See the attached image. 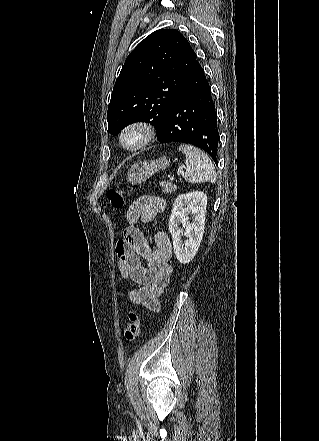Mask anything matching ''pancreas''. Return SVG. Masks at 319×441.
<instances>
[{
  "label": "pancreas",
  "instance_id": "pancreas-1",
  "mask_svg": "<svg viewBox=\"0 0 319 441\" xmlns=\"http://www.w3.org/2000/svg\"><path fill=\"white\" fill-rule=\"evenodd\" d=\"M160 186L165 193H172L177 190V186L170 182H161Z\"/></svg>",
  "mask_w": 319,
  "mask_h": 441
}]
</instances>
